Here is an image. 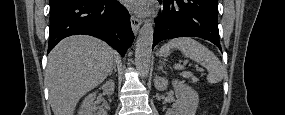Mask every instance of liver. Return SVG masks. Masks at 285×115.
<instances>
[{
    "mask_svg": "<svg viewBox=\"0 0 285 115\" xmlns=\"http://www.w3.org/2000/svg\"><path fill=\"white\" fill-rule=\"evenodd\" d=\"M114 50L85 35L63 39L48 55L45 79L54 115H73L79 99L113 68Z\"/></svg>",
    "mask_w": 285,
    "mask_h": 115,
    "instance_id": "1",
    "label": "liver"
}]
</instances>
